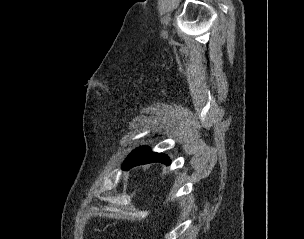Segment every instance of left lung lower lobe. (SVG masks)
Here are the masks:
<instances>
[{
  "label": "left lung lower lobe",
  "instance_id": "0a47b994",
  "mask_svg": "<svg viewBox=\"0 0 304 239\" xmlns=\"http://www.w3.org/2000/svg\"><path fill=\"white\" fill-rule=\"evenodd\" d=\"M152 162L170 164V159L161 153L151 152L147 147H140L129 154L122 168L129 169L133 166Z\"/></svg>",
  "mask_w": 304,
  "mask_h": 239
}]
</instances>
